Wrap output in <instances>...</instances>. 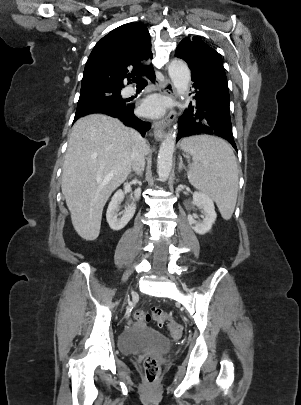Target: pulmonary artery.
<instances>
[{
	"mask_svg": "<svg viewBox=\"0 0 301 405\" xmlns=\"http://www.w3.org/2000/svg\"><path fill=\"white\" fill-rule=\"evenodd\" d=\"M134 93H135V89L132 88V87H127V88H125V89L123 90V94H124L125 96H130V95H132V94H134Z\"/></svg>",
	"mask_w": 301,
	"mask_h": 405,
	"instance_id": "1",
	"label": "pulmonary artery"
}]
</instances>
